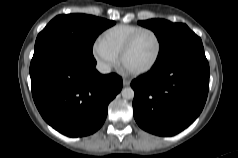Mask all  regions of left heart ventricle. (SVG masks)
Wrapping results in <instances>:
<instances>
[{"mask_svg":"<svg viewBox=\"0 0 238 158\" xmlns=\"http://www.w3.org/2000/svg\"><path fill=\"white\" fill-rule=\"evenodd\" d=\"M157 43L150 33L142 34L125 57V65L131 70L147 66L155 57Z\"/></svg>","mask_w":238,"mask_h":158,"instance_id":"obj_1","label":"left heart ventricle"}]
</instances>
